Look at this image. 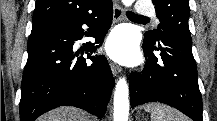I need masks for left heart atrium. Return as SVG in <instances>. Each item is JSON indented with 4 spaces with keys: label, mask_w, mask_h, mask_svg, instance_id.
Here are the masks:
<instances>
[{
    "label": "left heart atrium",
    "mask_w": 217,
    "mask_h": 121,
    "mask_svg": "<svg viewBox=\"0 0 217 121\" xmlns=\"http://www.w3.org/2000/svg\"><path fill=\"white\" fill-rule=\"evenodd\" d=\"M106 51L112 58L120 62H134L138 59L134 38L124 29L111 35L106 45Z\"/></svg>",
    "instance_id": "1"
}]
</instances>
